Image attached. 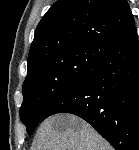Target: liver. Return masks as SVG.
<instances>
[{"label":"liver","mask_w":139,"mask_h":150,"mask_svg":"<svg viewBox=\"0 0 139 150\" xmlns=\"http://www.w3.org/2000/svg\"><path fill=\"white\" fill-rule=\"evenodd\" d=\"M36 150H113L89 124L70 115L46 119L36 134Z\"/></svg>","instance_id":"liver-1"}]
</instances>
